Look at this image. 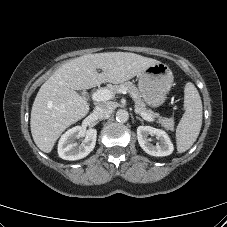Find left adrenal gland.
<instances>
[{
    "label": "left adrenal gland",
    "instance_id": "1",
    "mask_svg": "<svg viewBox=\"0 0 227 227\" xmlns=\"http://www.w3.org/2000/svg\"><path fill=\"white\" fill-rule=\"evenodd\" d=\"M136 119H138L139 121H141V122H144V120L143 119H141L140 117H138V116H136Z\"/></svg>",
    "mask_w": 227,
    "mask_h": 227
}]
</instances>
